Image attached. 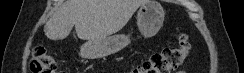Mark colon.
<instances>
[{
    "mask_svg": "<svg viewBox=\"0 0 244 73\" xmlns=\"http://www.w3.org/2000/svg\"><path fill=\"white\" fill-rule=\"evenodd\" d=\"M191 43L188 36L180 33L178 44L152 54L131 73H174L188 58ZM31 73H57L55 58L44 49H36L29 63Z\"/></svg>",
    "mask_w": 244,
    "mask_h": 73,
    "instance_id": "colon-1",
    "label": "colon"
}]
</instances>
